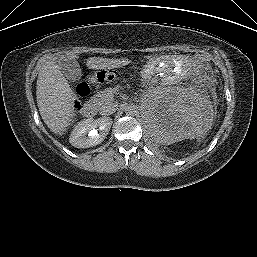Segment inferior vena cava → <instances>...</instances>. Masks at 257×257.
<instances>
[{
	"instance_id": "1",
	"label": "inferior vena cava",
	"mask_w": 257,
	"mask_h": 257,
	"mask_svg": "<svg viewBox=\"0 0 257 257\" xmlns=\"http://www.w3.org/2000/svg\"><path fill=\"white\" fill-rule=\"evenodd\" d=\"M118 108L117 103L109 102L100 111L102 115H111L116 112Z\"/></svg>"
}]
</instances>
